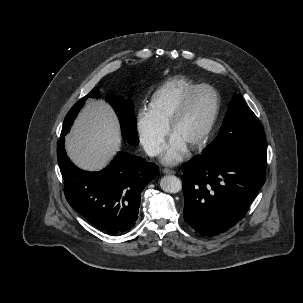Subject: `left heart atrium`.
I'll return each mask as SVG.
<instances>
[{"mask_svg":"<svg viewBox=\"0 0 303 303\" xmlns=\"http://www.w3.org/2000/svg\"><path fill=\"white\" fill-rule=\"evenodd\" d=\"M188 145L177 135L172 134L165 147L162 161L168 165L179 163L185 156Z\"/></svg>","mask_w":303,"mask_h":303,"instance_id":"39dd6f15","label":"left heart atrium"}]
</instances>
